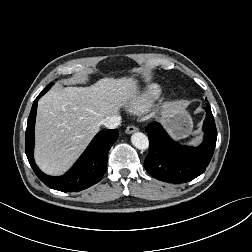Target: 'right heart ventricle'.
Masks as SVG:
<instances>
[{
    "instance_id": "right-heart-ventricle-1",
    "label": "right heart ventricle",
    "mask_w": 252,
    "mask_h": 252,
    "mask_svg": "<svg viewBox=\"0 0 252 252\" xmlns=\"http://www.w3.org/2000/svg\"><path fill=\"white\" fill-rule=\"evenodd\" d=\"M162 87L157 83L146 85L130 102V110L140 113L148 109L161 95Z\"/></svg>"
}]
</instances>
